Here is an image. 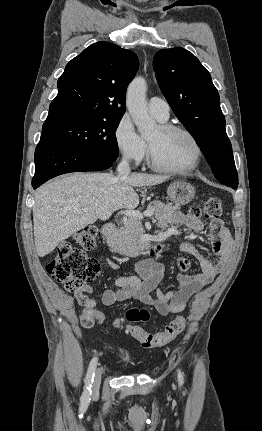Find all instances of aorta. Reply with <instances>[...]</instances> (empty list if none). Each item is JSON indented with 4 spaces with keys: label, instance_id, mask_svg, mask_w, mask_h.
<instances>
[{
    "label": "aorta",
    "instance_id": "aorta-1",
    "mask_svg": "<svg viewBox=\"0 0 262 431\" xmlns=\"http://www.w3.org/2000/svg\"><path fill=\"white\" fill-rule=\"evenodd\" d=\"M147 85L145 79L136 77L128 86L126 106L135 123L138 132L142 136H148L154 132L156 122L149 116L146 102Z\"/></svg>",
    "mask_w": 262,
    "mask_h": 431
}]
</instances>
